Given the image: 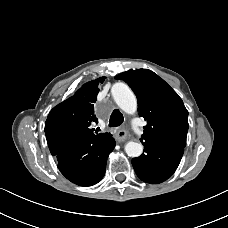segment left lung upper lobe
Masks as SVG:
<instances>
[{"label":"left lung upper lobe","mask_w":228,"mask_h":228,"mask_svg":"<svg viewBox=\"0 0 228 228\" xmlns=\"http://www.w3.org/2000/svg\"><path fill=\"white\" fill-rule=\"evenodd\" d=\"M115 79L124 80L137 96L139 116L147 121L141 141H166L185 147L188 111L179 95L148 69L128 70Z\"/></svg>","instance_id":"left-lung-upper-lobe-1"}]
</instances>
